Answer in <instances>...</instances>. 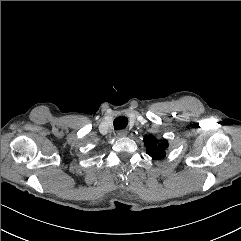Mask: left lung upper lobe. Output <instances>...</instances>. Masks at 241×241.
Returning a JSON list of instances; mask_svg holds the SVG:
<instances>
[{
  "label": "left lung upper lobe",
  "mask_w": 241,
  "mask_h": 241,
  "mask_svg": "<svg viewBox=\"0 0 241 241\" xmlns=\"http://www.w3.org/2000/svg\"><path fill=\"white\" fill-rule=\"evenodd\" d=\"M144 141L147 148V154L153 159H162L165 157V151L168 147L167 140L163 139L159 142L155 137L149 135L144 138Z\"/></svg>",
  "instance_id": "5c2ea615"
}]
</instances>
